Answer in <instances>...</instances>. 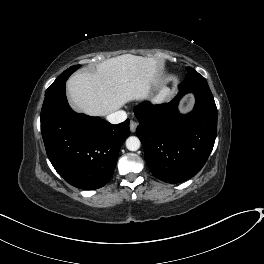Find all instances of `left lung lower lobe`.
Returning <instances> with one entry per match:
<instances>
[{"mask_svg":"<svg viewBox=\"0 0 264 264\" xmlns=\"http://www.w3.org/2000/svg\"><path fill=\"white\" fill-rule=\"evenodd\" d=\"M179 88L170 103L143 102L134 110L145 161L152 174L167 183L196 175L206 163L217 133V108L207 81H184ZM188 92L195 94L196 104L189 114L182 115L178 101Z\"/></svg>","mask_w":264,"mask_h":264,"instance_id":"left-lung-lower-lobe-1","label":"left lung lower lobe"}]
</instances>
